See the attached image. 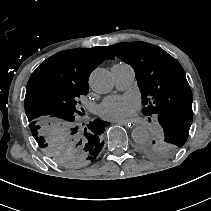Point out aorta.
I'll list each match as a JSON object with an SVG mask.
<instances>
[{"label":"aorta","instance_id":"1","mask_svg":"<svg viewBox=\"0 0 211 211\" xmlns=\"http://www.w3.org/2000/svg\"><path fill=\"white\" fill-rule=\"evenodd\" d=\"M89 84L99 94L110 92L114 86L110 72L104 68H97L91 73ZM131 137L135 142L141 143L149 138V132L145 127L137 126L132 130Z\"/></svg>","mask_w":211,"mask_h":211}]
</instances>
